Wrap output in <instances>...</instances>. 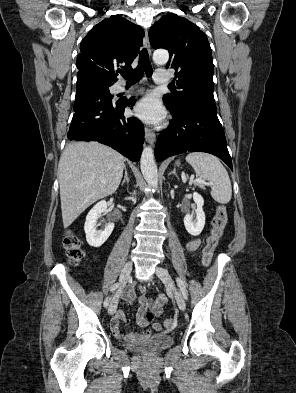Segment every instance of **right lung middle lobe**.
<instances>
[{
	"label": "right lung middle lobe",
	"mask_w": 296,
	"mask_h": 393,
	"mask_svg": "<svg viewBox=\"0 0 296 393\" xmlns=\"http://www.w3.org/2000/svg\"><path fill=\"white\" fill-rule=\"evenodd\" d=\"M93 80L109 97H112L109 92V86H111V83L98 78H93Z\"/></svg>",
	"instance_id": "obj_1"
}]
</instances>
